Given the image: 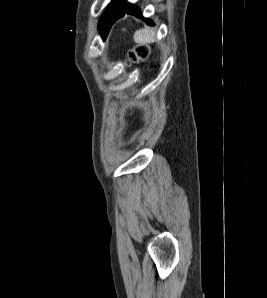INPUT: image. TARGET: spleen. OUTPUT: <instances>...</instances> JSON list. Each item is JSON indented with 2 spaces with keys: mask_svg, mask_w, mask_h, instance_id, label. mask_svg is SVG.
<instances>
[{
  "mask_svg": "<svg viewBox=\"0 0 267 298\" xmlns=\"http://www.w3.org/2000/svg\"><path fill=\"white\" fill-rule=\"evenodd\" d=\"M156 33L152 28L145 27L134 34V41L138 44H150L155 41Z\"/></svg>",
  "mask_w": 267,
  "mask_h": 298,
  "instance_id": "1",
  "label": "spleen"
}]
</instances>
